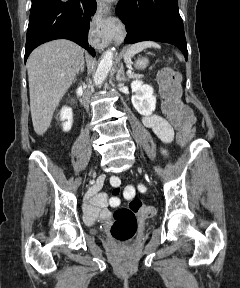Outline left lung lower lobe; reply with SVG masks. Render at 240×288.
Returning <instances> with one entry per match:
<instances>
[{"mask_svg":"<svg viewBox=\"0 0 240 288\" xmlns=\"http://www.w3.org/2000/svg\"><path fill=\"white\" fill-rule=\"evenodd\" d=\"M116 14L125 24V43L153 40L171 43L188 57L178 0H120Z\"/></svg>","mask_w":240,"mask_h":288,"instance_id":"1","label":"left lung lower lobe"}]
</instances>
